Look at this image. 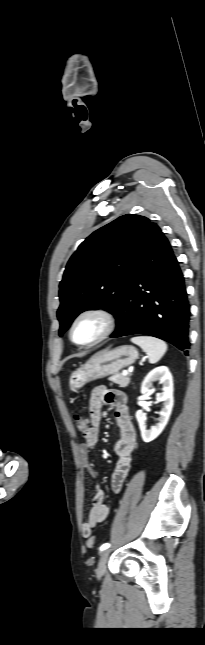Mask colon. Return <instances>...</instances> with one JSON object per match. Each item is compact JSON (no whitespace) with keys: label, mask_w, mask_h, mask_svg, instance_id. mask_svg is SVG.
Here are the masks:
<instances>
[{"label":"colon","mask_w":205,"mask_h":645,"mask_svg":"<svg viewBox=\"0 0 205 645\" xmlns=\"http://www.w3.org/2000/svg\"><path fill=\"white\" fill-rule=\"evenodd\" d=\"M89 418L80 414L74 415V424L76 429L83 435L86 436L89 430ZM95 536L90 535L87 539V547L93 549L95 547Z\"/></svg>","instance_id":"colon-1"}]
</instances>
